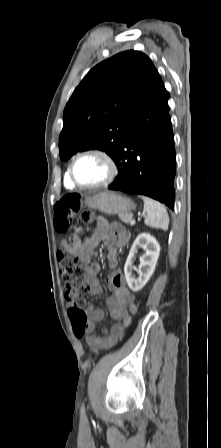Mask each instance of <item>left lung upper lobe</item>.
Segmentation results:
<instances>
[{"label":"left lung upper lobe","mask_w":221,"mask_h":448,"mask_svg":"<svg viewBox=\"0 0 221 448\" xmlns=\"http://www.w3.org/2000/svg\"><path fill=\"white\" fill-rule=\"evenodd\" d=\"M151 60L142 52H121L92 68L63 113L61 159L98 149L113 160L141 112L165 91Z\"/></svg>","instance_id":"obj_1"}]
</instances>
